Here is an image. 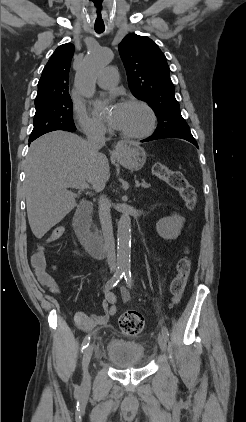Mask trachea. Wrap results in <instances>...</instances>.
<instances>
[{"label": "trachea", "mask_w": 246, "mask_h": 422, "mask_svg": "<svg viewBox=\"0 0 246 422\" xmlns=\"http://www.w3.org/2000/svg\"><path fill=\"white\" fill-rule=\"evenodd\" d=\"M104 30H105V27H95V31H96V33H98V34L103 33V32H104Z\"/></svg>", "instance_id": "trachea-1"}]
</instances>
